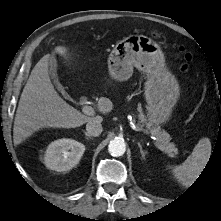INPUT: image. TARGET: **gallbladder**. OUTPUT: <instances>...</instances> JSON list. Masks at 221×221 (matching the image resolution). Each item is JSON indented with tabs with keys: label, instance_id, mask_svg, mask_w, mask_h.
<instances>
[{
	"label": "gallbladder",
	"instance_id": "bac80fb5",
	"mask_svg": "<svg viewBox=\"0 0 221 221\" xmlns=\"http://www.w3.org/2000/svg\"><path fill=\"white\" fill-rule=\"evenodd\" d=\"M49 65H50V75L51 78L54 81V84L56 86V88L58 89V91H60L65 98H69V95H67L64 91V87L60 84V82L58 81V77H57V61L56 58L54 56H52L49 60Z\"/></svg>",
	"mask_w": 221,
	"mask_h": 221
}]
</instances>
